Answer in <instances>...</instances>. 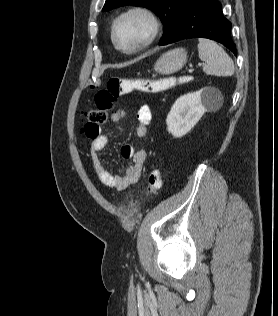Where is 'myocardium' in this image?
<instances>
[{"instance_id": "f54148a6", "label": "myocardium", "mask_w": 278, "mask_h": 316, "mask_svg": "<svg viewBox=\"0 0 278 316\" xmlns=\"http://www.w3.org/2000/svg\"><path fill=\"white\" fill-rule=\"evenodd\" d=\"M131 17L142 18L148 25V33L146 37L137 45L131 48L122 47L116 39V28L118 24ZM161 28L157 15L148 7L142 5L131 6L119 13L111 24V41L114 47L124 54H135L149 47L159 35Z\"/></svg>"}]
</instances>
